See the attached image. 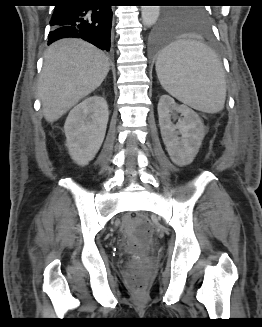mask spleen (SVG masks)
I'll return each mask as SVG.
<instances>
[{
  "instance_id": "1",
  "label": "spleen",
  "mask_w": 262,
  "mask_h": 327,
  "mask_svg": "<svg viewBox=\"0 0 262 327\" xmlns=\"http://www.w3.org/2000/svg\"><path fill=\"white\" fill-rule=\"evenodd\" d=\"M156 73L169 94L192 108L206 113L224 108L223 65L203 43L180 40L170 44L158 55Z\"/></svg>"
}]
</instances>
